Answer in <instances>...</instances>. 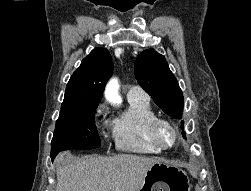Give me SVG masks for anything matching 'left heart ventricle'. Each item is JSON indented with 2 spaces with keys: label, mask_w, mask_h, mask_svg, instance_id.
<instances>
[{
  "label": "left heart ventricle",
  "mask_w": 251,
  "mask_h": 191,
  "mask_svg": "<svg viewBox=\"0 0 251 191\" xmlns=\"http://www.w3.org/2000/svg\"><path fill=\"white\" fill-rule=\"evenodd\" d=\"M158 140L163 148L170 149L176 144L178 136L171 127L162 124L158 128Z\"/></svg>",
  "instance_id": "obj_1"
}]
</instances>
